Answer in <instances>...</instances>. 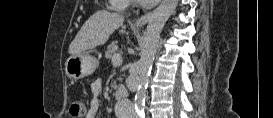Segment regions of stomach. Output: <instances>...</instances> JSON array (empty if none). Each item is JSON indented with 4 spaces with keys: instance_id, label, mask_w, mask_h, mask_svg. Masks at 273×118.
Segmentation results:
<instances>
[{
    "instance_id": "stomach-1",
    "label": "stomach",
    "mask_w": 273,
    "mask_h": 118,
    "mask_svg": "<svg viewBox=\"0 0 273 118\" xmlns=\"http://www.w3.org/2000/svg\"><path fill=\"white\" fill-rule=\"evenodd\" d=\"M98 67V60L91 54L83 51L71 55L65 64V71L69 78L79 80L91 75Z\"/></svg>"
}]
</instances>
